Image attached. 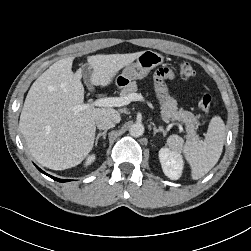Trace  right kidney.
Listing matches in <instances>:
<instances>
[{
  "instance_id": "obj_1",
  "label": "right kidney",
  "mask_w": 251,
  "mask_h": 251,
  "mask_svg": "<svg viewBox=\"0 0 251 251\" xmlns=\"http://www.w3.org/2000/svg\"><path fill=\"white\" fill-rule=\"evenodd\" d=\"M94 160H95V155L93 154V155H91V156L88 157L85 165L86 166L90 165Z\"/></svg>"
}]
</instances>
